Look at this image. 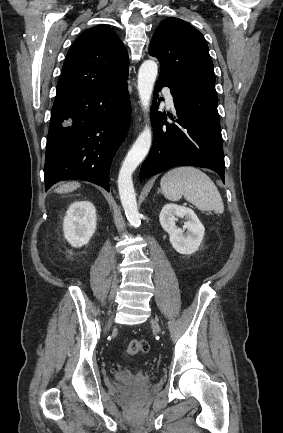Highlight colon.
<instances>
[{
  "mask_svg": "<svg viewBox=\"0 0 283 433\" xmlns=\"http://www.w3.org/2000/svg\"><path fill=\"white\" fill-rule=\"evenodd\" d=\"M149 350V344L145 340L131 339L129 340L124 348L123 352L128 357L137 356L139 354H145Z\"/></svg>",
  "mask_w": 283,
  "mask_h": 433,
  "instance_id": "5ec220e1",
  "label": "colon"
}]
</instances>
